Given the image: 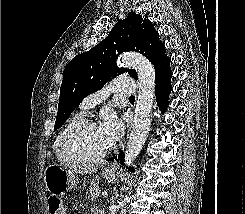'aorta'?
<instances>
[{
    "mask_svg": "<svg viewBox=\"0 0 245 214\" xmlns=\"http://www.w3.org/2000/svg\"><path fill=\"white\" fill-rule=\"evenodd\" d=\"M117 63L119 66H132L139 80L134 121L125 150V163L131 165L141 151L150 130L155 69L147 58L135 52L122 54Z\"/></svg>",
    "mask_w": 245,
    "mask_h": 214,
    "instance_id": "obj_1",
    "label": "aorta"
}]
</instances>
